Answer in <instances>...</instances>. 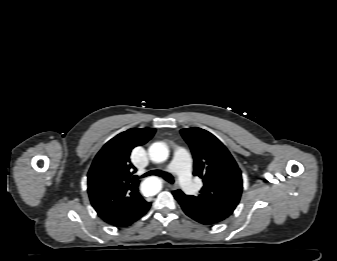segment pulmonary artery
Returning <instances> with one entry per match:
<instances>
[{"label": "pulmonary artery", "instance_id": "e3ab8cb5", "mask_svg": "<svg viewBox=\"0 0 337 261\" xmlns=\"http://www.w3.org/2000/svg\"><path fill=\"white\" fill-rule=\"evenodd\" d=\"M168 171L177 175L180 186L187 194L195 192V185L191 178V157L189 152L184 148H178L173 155Z\"/></svg>", "mask_w": 337, "mask_h": 261}]
</instances>
